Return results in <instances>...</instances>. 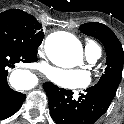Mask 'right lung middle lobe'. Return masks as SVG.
I'll return each mask as SVG.
<instances>
[{
  "label": "right lung middle lobe",
  "instance_id": "obj_1",
  "mask_svg": "<svg viewBox=\"0 0 124 124\" xmlns=\"http://www.w3.org/2000/svg\"><path fill=\"white\" fill-rule=\"evenodd\" d=\"M41 24L22 10L0 13V46L28 55H36L44 33Z\"/></svg>",
  "mask_w": 124,
  "mask_h": 124
}]
</instances>
